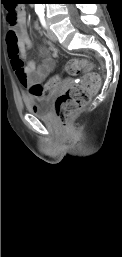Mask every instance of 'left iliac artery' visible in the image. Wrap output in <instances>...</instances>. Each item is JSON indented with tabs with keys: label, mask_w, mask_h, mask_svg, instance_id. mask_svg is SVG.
Instances as JSON below:
<instances>
[{
	"label": "left iliac artery",
	"mask_w": 122,
	"mask_h": 257,
	"mask_svg": "<svg viewBox=\"0 0 122 257\" xmlns=\"http://www.w3.org/2000/svg\"><path fill=\"white\" fill-rule=\"evenodd\" d=\"M39 17H40V21H41V24L43 25V27H46V23H45V19H44V14H39Z\"/></svg>",
	"instance_id": "1"
}]
</instances>
